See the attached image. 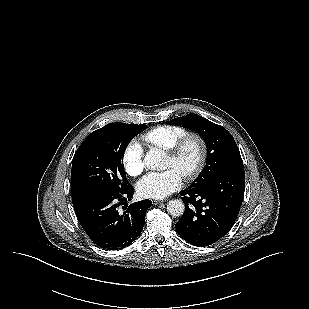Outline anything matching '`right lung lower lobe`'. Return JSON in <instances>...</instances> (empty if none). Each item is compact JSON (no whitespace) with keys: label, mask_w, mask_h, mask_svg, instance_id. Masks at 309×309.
I'll list each match as a JSON object with an SVG mask.
<instances>
[{"label":"right lung lower lobe","mask_w":309,"mask_h":309,"mask_svg":"<svg viewBox=\"0 0 309 309\" xmlns=\"http://www.w3.org/2000/svg\"><path fill=\"white\" fill-rule=\"evenodd\" d=\"M134 189L129 186L122 192L87 191L73 195L75 214L89 238L99 247L119 250L129 246L142 232L146 210L151 200L129 205L123 213L119 206L131 200Z\"/></svg>","instance_id":"98d812e1"}]
</instances>
